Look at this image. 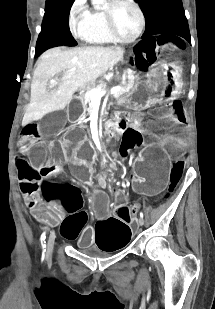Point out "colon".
<instances>
[{
    "mask_svg": "<svg viewBox=\"0 0 215 309\" xmlns=\"http://www.w3.org/2000/svg\"><path fill=\"white\" fill-rule=\"evenodd\" d=\"M44 159L46 160L45 164H53L56 162L53 156L51 155L45 156ZM77 221L82 224L84 222V217L82 215H78Z\"/></svg>",
    "mask_w": 215,
    "mask_h": 309,
    "instance_id": "1",
    "label": "colon"
}]
</instances>
